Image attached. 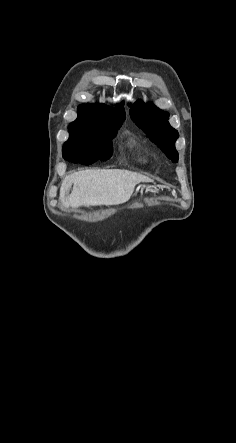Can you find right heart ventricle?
<instances>
[{"mask_svg":"<svg viewBox=\"0 0 236 443\" xmlns=\"http://www.w3.org/2000/svg\"><path fill=\"white\" fill-rule=\"evenodd\" d=\"M131 147L136 151L139 162L141 164H145L147 162V158L145 156V152L141 143L136 139H133L131 141Z\"/></svg>","mask_w":236,"mask_h":443,"instance_id":"right-heart-ventricle-1","label":"right heart ventricle"}]
</instances>
